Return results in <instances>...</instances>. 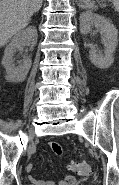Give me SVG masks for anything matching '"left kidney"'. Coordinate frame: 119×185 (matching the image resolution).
I'll use <instances>...</instances> for the list:
<instances>
[{
  "instance_id": "5707ae66",
  "label": "left kidney",
  "mask_w": 119,
  "mask_h": 185,
  "mask_svg": "<svg viewBox=\"0 0 119 185\" xmlns=\"http://www.w3.org/2000/svg\"><path fill=\"white\" fill-rule=\"evenodd\" d=\"M80 32L87 35L95 27L102 34L101 41L105 46V51H101L92 47L89 51L91 62L100 69L109 68L114 62L113 53L118 44V30L112 22L106 17L92 13L83 12L80 14Z\"/></svg>"
}]
</instances>
